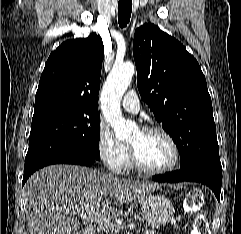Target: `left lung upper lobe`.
Returning a JSON list of instances; mask_svg holds the SVG:
<instances>
[{
  "mask_svg": "<svg viewBox=\"0 0 241 234\" xmlns=\"http://www.w3.org/2000/svg\"><path fill=\"white\" fill-rule=\"evenodd\" d=\"M133 55L141 98L176 143L180 168L221 167L212 102L196 59L152 23L136 29Z\"/></svg>",
  "mask_w": 241,
  "mask_h": 234,
  "instance_id": "5c2ea615",
  "label": "left lung upper lobe"
}]
</instances>
